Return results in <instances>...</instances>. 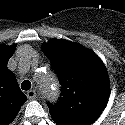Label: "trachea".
<instances>
[{"instance_id":"1","label":"trachea","mask_w":125,"mask_h":125,"mask_svg":"<svg viewBox=\"0 0 125 125\" xmlns=\"http://www.w3.org/2000/svg\"><path fill=\"white\" fill-rule=\"evenodd\" d=\"M21 88L23 90H29L31 88V82L29 80H25L21 83Z\"/></svg>"}]
</instances>
